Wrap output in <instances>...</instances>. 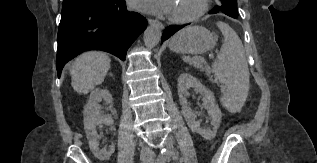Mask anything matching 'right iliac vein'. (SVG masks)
<instances>
[{"label": "right iliac vein", "instance_id": "63e3f726", "mask_svg": "<svg viewBox=\"0 0 317 163\" xmlns=\"http://www.w3.org/2000/svg\"><path fill=\"white\" fill-rule=\"evenodd\" d=\"M143 163H149L148 161H143Z\"/></svg>", "mask_w": 317, "mask_h": 163}]
</instances>
